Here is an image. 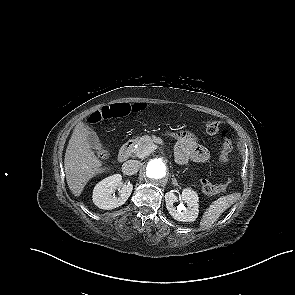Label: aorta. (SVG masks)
Here are the masks:
<instances>
[{
	"label": "aorta",
	"mask_w": 295,
	"mask_h": 295,
	"mask_svg": "<svg viewBox=\"0 0 295 295\" xmlns=\"http://www.w3.org/2000/svg\"><path fill=\"white\" fill-rule=\"evenodd\" d=\"M167 164L160 158L150 160L146 166V177L152 182L163 180L167 176Z\"/></svg>",
	"instance_id": "762f6f07"
}]
</instances>
